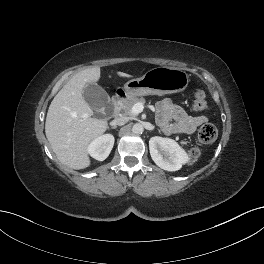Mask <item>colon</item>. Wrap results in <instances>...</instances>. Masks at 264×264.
I'll list each match as a JSON object with an SVG mask.
<instances>
[{"instance_id":"obj_1","label":"colon","mask_w":264,"mask_h":264,"mask_svg":"<svg viewBox=\"0 0 264 264\" xmlns=\"http://www.w3.org/2000/svg\"><path fill=\"white\" fill-rule=\"evenodd\" d=\"M190 108L192 111L200 113L208 109V101L206 94L203 91L197 90L193 93ZM217 129L212 124H204L198 131V139L202 144H209L216 140ZM198 157L197 150L190 151L191 161L194 162Z\"/></svg>"}]
</instances>
